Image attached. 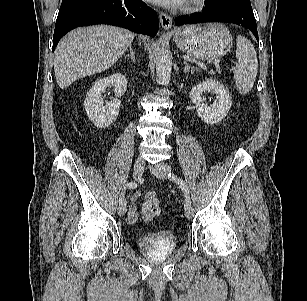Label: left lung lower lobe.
<instances>
[{
  "instance_id": "left-lung-lower-lobe-1",
  "label": "left lung lower lobe",
  "mask_w": 307,
  "mask_h": 301,
  "mask_svg": "<svg viewBox=\"0 0 307 301\" xmlns=\"http://www.w3.org/2000/svg\"><path fill=\"white\" fill-rule=\"evenodd\" d=\"M202 13L175 18V25L195 24L203 22H227L242 25L252 31L258 40L256 20L251 4L234 3L215 6L211 3Z\"/></svg>"
}]
</instances>
